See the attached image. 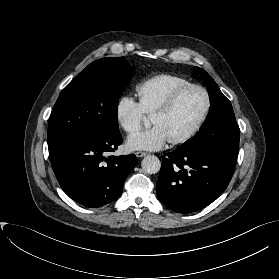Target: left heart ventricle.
Returning a JSON list of instances; mask_svg holds the SVG:
<instances>
[{"mask_svg":"<svg viewBox=\"0 0 279 279\" xmlns=\"http://www.w3.org/2000/svg\"><path fill=\"white\" fill-rule=\"evenodd\" d=\"M205 104L203 93L189 89L182 93L169 113L152 117L154 126H159L169 140L179 138L188 132L201 115Z\"/></svg>","mask_w":279,"mask_h":279,"instance_id":"obj_1","label":"left heart ventricle"}]
</instances>
